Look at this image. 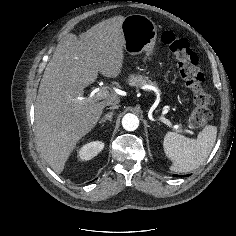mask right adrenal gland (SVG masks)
Instances as JSON below:
<instances>
[{
    "instance_id": "1",
    "label": "right adrenal gland",
    "mask_w": 236,
    "mask_h": 236,
    "mask_svg": "<svg viewBox=\"0 0 236 236\" xmlns=\"http://www.w3.org/2000/svg\"><path fill=\"white\" fill-rule=\"evenodd\" d=\"M112 116H113V112H109L108 114L105 115L104 118H102L99 123H104L106 122L107 120H109L110 122H112Z\"/></svg>"
}]
</instances>
